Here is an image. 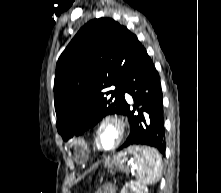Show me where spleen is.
<instances>
[{"label": "spleen", "mask_w": 221, "mask_h": 193, "mask_svg": "<svg viewBox=\"0 0 221 193\" xmlns=\"http://www.w3.org/2000/svg\"><path fill=\"white\" fill-rule=\"evenodd\" d=\"M128 152L134 156L137 179L143 184H155L161 178L162 158L151 146H130Z\"/></svg>", "instance_id": "obj_1"}]
</instances>
